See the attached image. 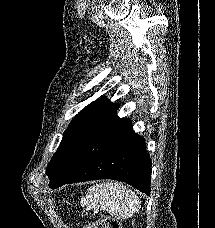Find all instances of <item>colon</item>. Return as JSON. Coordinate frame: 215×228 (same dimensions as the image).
<instances>
[{"label":"colon","mask_w":215,"mask_h":228,"mask_svg":"<svg viewBox=\"0 0 215 228\" xmlns=\"http://www.w3.org/2000/svg\"><path fill=\"white\" fill-rule=\"evenodd\" d=\"M86 228H119L117 221L109 216L102 215L95 225H86Z\"/></svg>","instance_id":"1"}]
</instances>
